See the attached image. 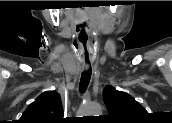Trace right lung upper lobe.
Masks as SVG:
<instances>
[{
    "mask_svg": "<svg viewBox=\"0 0 172 123\" xmlns=\"http://www.w3.org/2000/svg\"><path fill=\"white\" fill-rule=\"evenodd\" d=\"M22 123H62L63 111L60 96L55 91L42 93L21 116Z\"/></svg>",
    "mask_w": 172,
    "mask_h": 123,
    "instance_id": "right-lung-upper-lobe-1",
    "label": "right lung upper lobe"
}]
</instances>
